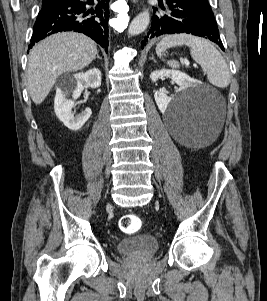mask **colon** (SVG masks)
I'll use <instances>...</instances> for the list:
<instances>
[{"instance_id":"1","label":"colon","mask_w":267,"mask_h":301,"mask_svg":"<svg viewBox=\"0 0 267 301\" xmlns=\"http://www.w3.org/2000/svg\"><path fill=\"white\" fill-rule=\"evenodd\" d=\"M119 227L124 233L133 234L142 228V220L135 214H126L121 217Z\"/></svg>"}]
</instances>
